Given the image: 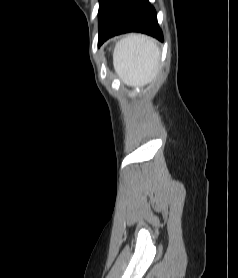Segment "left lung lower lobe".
<instances>
[{
    "instance_id": "obj_1",
    "label": "left lung lower lobe",
    "mask_w": 238,
    "mask_h": 278,
    "mask_svg": "<svg viewBox=\"0 0 238 278\" xmlns=\"http://www.w3.org/2000/svg\"><path fill=\"white\" fill-rule=\"evenodd\" d=\"M98 17L99 46L126 32H141L163 41L155 9L148 0H99Z\"/></svg>"
}]
</instances>
